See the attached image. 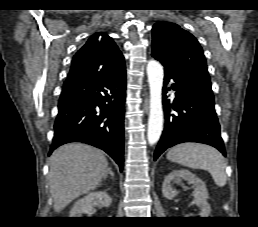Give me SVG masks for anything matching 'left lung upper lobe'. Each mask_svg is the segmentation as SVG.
Segmentation results:
<instances>
[{
  "mask_svg": "<svg viewBox=\"0 0 258 227\" xmlns=\"http://www.w3.org/2000/svg\"><path fill=\"white\" fill-rule=\"evenodd\" d=\"M152 56L165 69L211 83L197 39L175 23L159 21L152 28Z\"/></svg>",
  "mask_w": 258,
  "mask_h": 227,
  "instance_id": "5c2ea615",
  "label": "left lung upper lobe"
}]
</instances>
